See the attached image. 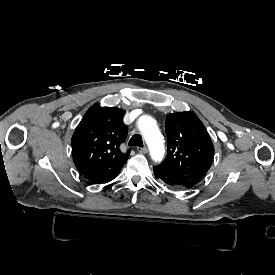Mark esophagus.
Masks as SVG:
<instances>
[{"label":"esophagus","mask_w":275,"mask_h":275,"mask_svg":"<svg viewBox=\"0 0 275 275\" xmlns=\"http://www.w3.org/2000/svg\"><path fill=\"white\" fill-rule=\"evenodd\" d=\"M137 151L142 154L148 153V149L146 147H137Z\"/></svg>","instance_id":"esophagus-1"}]
</instances>
